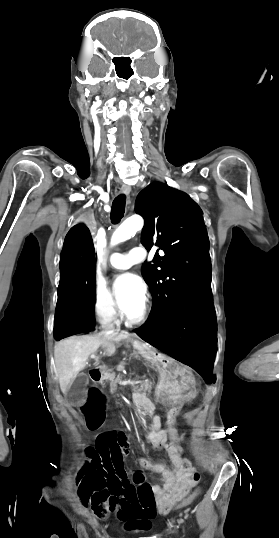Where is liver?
Returning <instances> with one entry per match:
<instances>
[{"mask_svg":"<svg viewBox=\"0 0 279 538\" xmlns=\"http://www.w3.org/2000/svg\"><path fill=\"white\" fill-rule=\"evenodd\" d=\"M129 340L128 334H104V336H71L54 346V360L60 390L66 394L77 374L84 370L86 362L99 348L105 350L106 356L116 352L115 344Z\"/></svg>","mask_w":279,"mask_h":538,"instance_id":"liver-1","label":"liver"}]
</instances>
